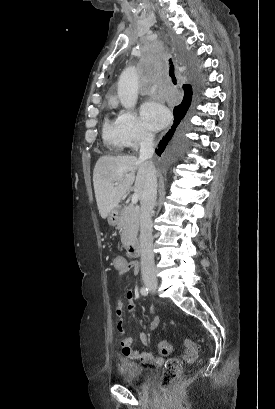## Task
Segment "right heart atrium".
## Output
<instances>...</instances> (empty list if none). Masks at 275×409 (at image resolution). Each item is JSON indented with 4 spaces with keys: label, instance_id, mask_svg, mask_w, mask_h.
I'll return each mask as SVG.
<instances>
[{
    "label": "right heart atrium",
    "instance_id": "1",
    "mask_svg": "<svg viewBox=\"0 0 275 409\" xmlns=\"http://www.w3.org/2000/svg\"><path fill=\"white\" fill-rule=\"evenodd\" d=\"M117 122L120 126L125 146L131 152L136 151L139 146L153 138V130L151 127L134 112H122Z\"/></svg>",
    "mask_w": 275,
    "mask_h": 409
}]
</instances>
